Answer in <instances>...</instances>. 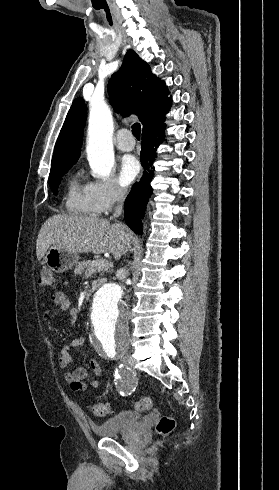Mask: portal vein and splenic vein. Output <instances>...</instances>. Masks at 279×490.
<instances>
[{"label":"portal vein and splenic vein","instance_id":"1","mask_svg":"<svg viewBox=\"0 0 279 490\" xmlns=\"http://www.w3.org/2000/svg\"><path fill=\"white\" fill-rule=\"evenodd\" d=\"M100 264H104V260H97V262H92V266H100Z\"/></svg>","mask_w":279,"mask_h":490}]
</instances>
